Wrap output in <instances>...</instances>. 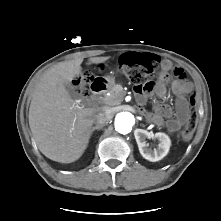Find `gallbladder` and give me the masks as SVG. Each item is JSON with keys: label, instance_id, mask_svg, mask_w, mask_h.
<instances>
[{"label": "gallbladder", "instance_id": "1", "mask_svg": "<svg viewBox=\"0 0 221 221\" xmlns=\"http://www.w3.org/2000/svg\"><path fill=\"white\" fill-rule=\"evenodd\" d=\"M65 89L70 94V96L75 97V91L71 84H65Z\"/></svg>", "mask_w": 221, "mask_h": 221}]
</instances>
